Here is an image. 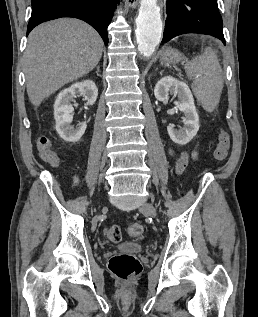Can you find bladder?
Here are the masks:
<instances>
[{
	"label": "bladder",
	"mask_w": 258,
	"mask_h": 317,
	"mask_svg": "<svg viewBox=\"0 0 258 317\" xmlns=\"http://www.w3.org/2000/svg\"><path fill=\"white\" fill-rule=\"evenodd\" d=\"M120 252L135 255L142 251V246L136 243H125L119 246Z\"/></svg>",
	"instance_id": "1"
}]
</instances>
